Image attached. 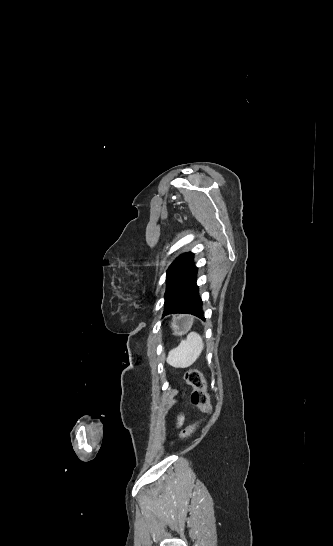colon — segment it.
I'll return each instance as SVG.
<instances>
[{
	"label": "colon",
	"mask_w": 333,
	"mask_h": 546,
	"mask_svg": "<svg viewBox=\"0 0 333 546\" xmlns=\"http://www.w3.org/2000/svg\"><path fill=\"white\" fill-rule=\"evenodd\" d=\"M186 382L192 386L191 401L192 403L201 409L206 416H209L212 412L210 405L209 394L207 392V385L204 380L203 374L198 369H189L185 373ZM198 424H192L186 427L180 434L182 439L191 436L197 429Z\"/></svg>",
	"instance_id": "5ec220e1"
}]
</instances>
